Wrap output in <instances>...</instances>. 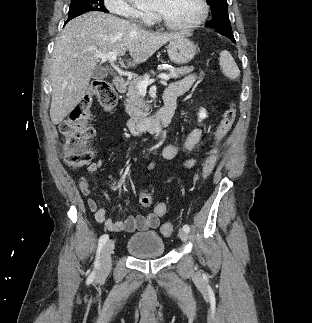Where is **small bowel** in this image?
I'll list each match as a JSON object with an SVG mask.
<instances>
[{
	"mask_svg": "<svg viewBox=\"0 0 312 323\" xmlns=\"http://www.w3.org/2000/svg\"><path fill=\"white\" fill-rule=\"evenodd\" d=\"M197 76L195 74H190L172 83L165 94L171 93L175 94L176 98L185 92H187L192 85L196 82ZM203 135L200 129L192 130L184 143V148L182 152L184 166L187 169H191L198 163L197 155L203 147ZM179 149L174 145H166L161 151V155L165 160H174L179 156ZM100 162H92L87 166V170L90 174L96 173L100 169ZM155 166L154 160L151 158L148 162L147 168L152 170ZM78 187L83 196L89 197L91 194L90 182L87 177L80 178L78 182ZM108 197V191H105ZM87 204L89 209L94 213V217L97 222L104 225L108 231H125V232H135V231H146L149 229H155L160 224V219L163 216H155L154 210L146 215H130L123 221L115 222L107 217L106 210L104 207H100L97 201L91 197L88 198ZM167 211V210H166Z\"/></svg>",
	"mask_w": 312,
	"mask_h": 323,
	"instance_id": "c3829d8e",
	"label": "small bowel"
}]
</instances>
